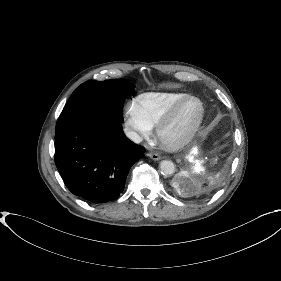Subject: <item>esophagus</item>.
Returning a JSON list of instances; mask_svg holds the SVG:
<instances>
[{
	"instance_id": "obj_1",
	"label": "esophagus",
	"mask_w": 281,
	"mask_h": 281,
	"mask_svg": "<svg viewBox=\"0 0 281 281\" xmlns=\"http://www.w3.org/2000/svg\"><path fill=\"white\" fill-rule=\"evenodd\" d=\"M148 156L155 161H158L161 159V156L157 152H149Z\"/></svg>"
}]
</instances>
